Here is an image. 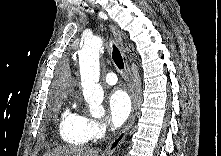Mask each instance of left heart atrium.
<instances>
[{
	"instance_id": "1",
	"label": "left heart atrium",
	"mask_w": 221,
	"mask_h": 156,
	"mask_svg": "<svg viewBox=\"0 0 221 156\" xmlns=\"http://www.w3.org/2000/svg\"><path fill=\"white\" fill-rule=\"evenodd\" d=\"M110 121L114 127L121 126L131 113V99L123 90L114 91L108 100Z\"/></svg>"
}]
</instances>
